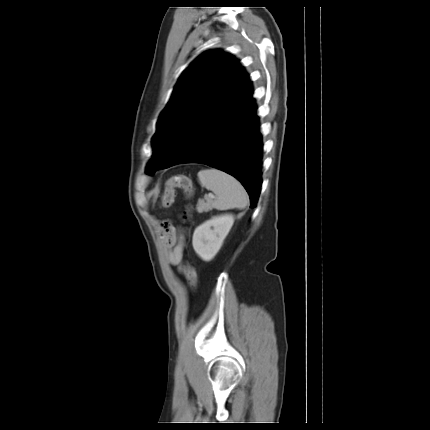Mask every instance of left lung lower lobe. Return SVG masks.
I'll use <instances>...</instances> for the list:
<instances>
[{"mask_svg":"<svg viewBox=\"0 0 430 430\" xmlns=\"http://www.w3.org/2000/svg\"><path fill=\"white\" fill-rule=\"evenodd\" d=\"M253 99L233 117L208 116L194 129L188 145L162 168L202 163L237 178L256 207L262 184V137Z\"/></svg>","mask_w":430,"mask_h":430,"instance_id":"1","label":"left lung lower lobe"}]
</instances>
